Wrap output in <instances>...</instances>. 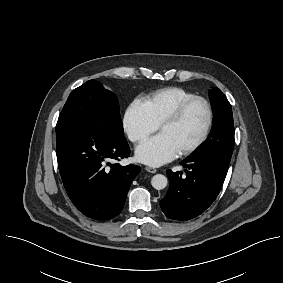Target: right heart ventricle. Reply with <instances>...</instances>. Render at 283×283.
<instances>
[{
	"instance_id": "right-heart-ventricle-1",
	"label": "right heart ventricle",
	"mask_w": 283,
	"mask_h": 283,
	"mask_svg": "<svg viewBox=\"0 0 283 283\" xmlns=\"http://www.w3.org/2000/svg\"><path fill=\"white\" fill-rule=\"evenodd\" d=\"M196 96L181 87H166L146 95L143 103L151 118L159 125L183 101Z\"/></svg>"
}]
</instances>
